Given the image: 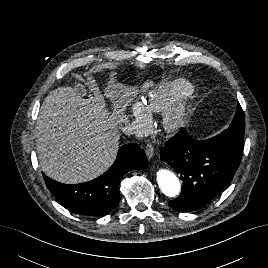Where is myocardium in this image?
Segmentation results:
<instances>
[{"instance_id":"1","label":"myocardium","mask_w":268,"mask_h":268,"mask_svg":"<svg viewBox=\"0 0 268 268\" xmlns=\"http://www.w3.org/2000/svg\"><path fill=\"white\" fill-rule=\"evenodd\" d=\"M190 95V92H185L179 100L170 108L164 111L163 126L168 131H175L182 128L188 120V106L184 102Z\"/></svg>"}]
</instances>
